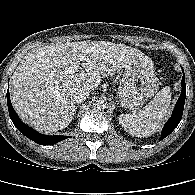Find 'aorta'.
Wrapping results in <instances>:
<instances>
[{"label": "aorta", "mask_w": 195, "mask_h": 195, "mask_svg": "<svg viewBox=\"0 0 195 195\" xmlns=\"http://www.w3.org/2000/svg\"><path fill=\"white\" fill-rule=\"evenodd\" d=\"M107 105V102L103 99H97L94 101L93 106L97 110L105 109Z\"/></svg>", "instance_id": "1"}]
</instances>
